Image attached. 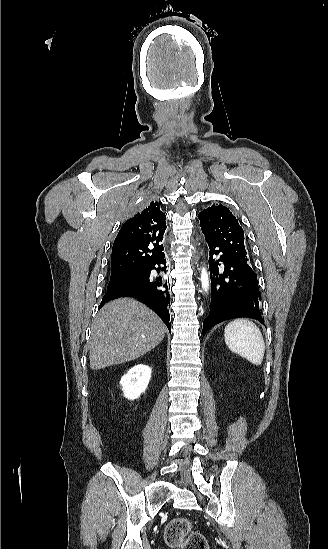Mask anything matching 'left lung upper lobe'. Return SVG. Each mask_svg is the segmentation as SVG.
<instances>
[{"label": "left lung upper lobe", "instance_id": "5c2ea615", "mask_svg": "<svg viewBox=\"0 0 328 549\" xmlns=\"http://www.w3.org/2000/svg\"><path fill=\"white\" fill-rule=\"evenodd\" d=\"M198 218L208 243L248 263L244 231L228 208L222 204H213L199 213Z\"/></svg>", "mask_w": 328, "mask_h": 549}]
</instances>
